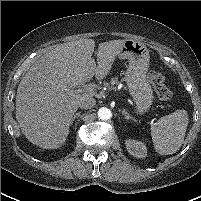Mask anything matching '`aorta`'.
<instances>
[{
	"label": "aorta",
	"instance_id": "1",
	"mask_svg": "<svg viewBox=\"0 0 201 201\" xmlns=\"http://www.w3.org/2000/svg\"><path fill=\"white\" fill-rule=\"evenodd\" d=\"M112 117L110 109L102 107L98 110V118L101 120H109Z\"/></svg>",
	"mask_w": 201,
	"mask_h": 201
}]
</instances>
